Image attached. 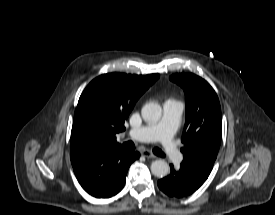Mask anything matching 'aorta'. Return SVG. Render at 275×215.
Returning a JSON list of instances; mask_svg holds the SVG:
<instances>
[{
  "label": "aorta",
  "instance_id": "762f6f07",
  "mask_svg": "<svg viewBox=\"0 0 275 215\" xmlns=\"http://www.w3.org/2000/svg\"><path fill=\"white\" fill-rule=\"evenodd\" d=\"M142 118L148 123H156L162 116V108L158 103H146L141 110ZM151 172L158 178H163L168 175L170 167L164 160H155L151 164Z\"/></svg>",
  "mask_w": 275,
  "mask_h": 215
}]
</instances>
